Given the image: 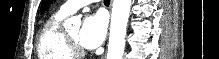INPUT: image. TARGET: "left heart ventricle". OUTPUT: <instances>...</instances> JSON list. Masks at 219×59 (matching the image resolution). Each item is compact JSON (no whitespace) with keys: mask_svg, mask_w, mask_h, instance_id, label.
<instances>
[{"mask_svg":"<svg viewBox=\"0 0 219 59\" xmlns=\"http://www.w3.org/2000/svg\"><path fill=\"white\" fill-rule=\"evenodd\" d=\"M79 33H80V29L79 28H76V29H73L71 31L68 32V34L75 40L77 41L78 43L79 42Z\"/></svg>","mask_w":219,"mask_h":59,"instance_id":"1","label":"left heart ventricle"}]
</instances>
